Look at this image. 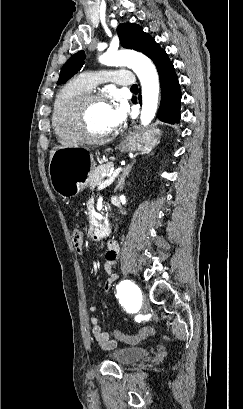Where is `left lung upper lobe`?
I'll use <instances>...</instances> for the list:
<instances>
[{
    "label": "left lung upper lobe",
    "instance_id": "1",
    "mask_svg": "<svg viewBox=\"0 0 243 409\" xmlns=\"http://www.w3.org/2000/svg\"><path fill=\"white\" fill-rule=\"evenodd\" d=\"M117 33L120 43L124 48L134 49L142 52L152 59L157 69L170 62L169 58L159 44L143 29L136 24L123 23L117 27ZM85 53L79 51L71 56L63 65L57 84L65 83L69 78L76 74L84 65Z\"/></svg>",
    "mask_w": 243,
    "mask_h": 409
}]
</instances>
